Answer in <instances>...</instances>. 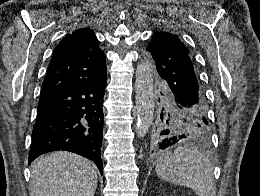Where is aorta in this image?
Returning a JSON list of instances; mask_svg holds the SVG:
<instances>
[{
  "mask_svg": "<svg viewBox=\"0 0 260 196\" xmlns=\"http://www.w3.org/2000/svg\"><path fill=\"white\" fill-rule=\"evenodd\" d=\"M154 70L151 62L144 60L136 69V133L144 137L153 120L154 94L153 79Z\"/></svg>",
  "mask_w": 260,
  "mask_h": 196,
  "instance_id": "aorta-1",
  "label": "aorta"
}]
</instances>
